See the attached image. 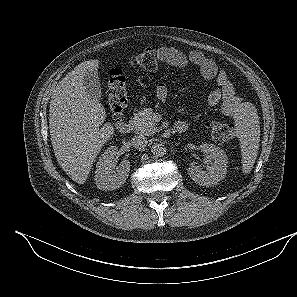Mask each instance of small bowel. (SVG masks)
I'll return each instance as SVG.
<instances>
[{
  "label": "small bowel",
  "mask_w": 297,
  "mask_h": 297,
  "mask_svg": "<svg viewBox=\"0 0 297 297\" xmlns=\"http://www.w3.org/2000/svg\"><path fill=\"white\" fill-rule=\"evenodd\" d=\"M157 54L161 61L166 64L181 68L193 66L198 69L205 79H215L218 89L210 93L206 106L212 107L220 104L221 112L224 115L233 118H237L240 115L243 108L242 99L236 95L226 71L219 67L214 60L206 57L200 51L184 53L170 46L159 47ZM157 96L161 101L167 100L168 87L164 82L158 84Z\"/></svg>",
  "instance_id": "1"
}]
</instances>
